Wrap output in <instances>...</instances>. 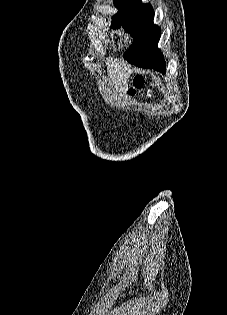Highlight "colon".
Listing matches in <instances>:
<instances>
[{
    "instance_id": "obj_1",
    "label": "colon",
    "mask_w": 227,
    "mask_h": 315,
    "mask_svg": "<svg viewBox=\"0 0 227 315\" xmlns=\"http://www.w3.org/2000/svg\"><path fill=\"white\" fill-rule=\"evenodd\" d=\"M144 78L141 75H136L133 80L132 84L129 89V94L132 95L135 93V91L140 90L144 86Z\"/></svg>"
}]
</instances>
